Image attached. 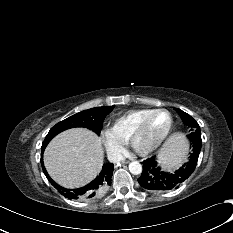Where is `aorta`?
I'll return each mask as SVG.
<instances>
[{"instance_id":"1","label":"aorta","mask_w":233,"mask_h":233,"mask_svg":"<svg viewBox=\"0 0 233 233\" xmlns=\"http://www.w3.org/2000/svg\"><path fill=\"white\" fill-rule=\"evenodd\" d=\"M129 171L133 175L141 174V172H142V165L139 162H137V161H133V162H131L129 164Z\"/></svg>"}]
</instances>
